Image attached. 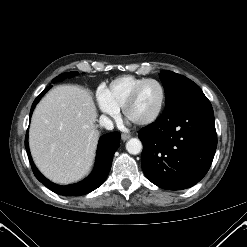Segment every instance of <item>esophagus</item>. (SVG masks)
Wrapping results in <instances>:
<instances>
[{
	"mask_svg": "<svg viewBox=\"0 0 247 247\" xmlns=\"http://www.w3.org/2000/svg\"><path fill=\"white\" fill-rule=\"evenodd\" d=\"M130 137H131V136H130L129 134H125V133L121 134V139H122L123 141L128 140Z\"/></svg>",
	"mask_w": 247,
	"mask_h": 247,
	"instance_id": "esophagus-1",
	"label": "esophagus"
}]
</instances>
